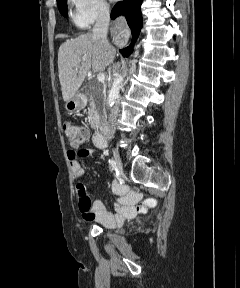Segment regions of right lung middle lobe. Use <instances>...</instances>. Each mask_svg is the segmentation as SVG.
<instances>
[{"mask_svg": "<svg viewBox=\"0 0 240 288\" xmlns=\"http://www.w3.org/2000/svg\"><path fill=\"white\" fill-rule=\"evenodd\" d=\"M58 1V8L59 11L61 12V14L64 17H67L68 13H67V0H57Z\"/></svg>", "mask_w": 240, "mask_h": 288, "instance_id": "right-lung-middle-lobe-1", "label": "right lung middle lobe"}]
</instances>
